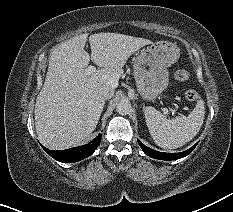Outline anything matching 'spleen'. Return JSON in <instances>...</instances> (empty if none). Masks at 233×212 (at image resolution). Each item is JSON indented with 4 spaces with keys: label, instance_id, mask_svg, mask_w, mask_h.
Instances as JSON below:
<instances>
[{
    "label": "spleen",
    "instance_id": "spleen-1",
    "mask_svg": "<svg viewBox=\"0 0 233 212\" xmlns=\"http://www.w3.org/2000/svg\"><path fill=\"white\" fill-rule=\"evenodd\" d=\"M144 114L155 144L165 149H176L191 141L199 132L204 121L205 105L199 99L193 111L184 118L167 119L152 106L144 108Z\"/></svg>",
    "mask_w": 233,
    "mask_h": 212
}]
</instances>
